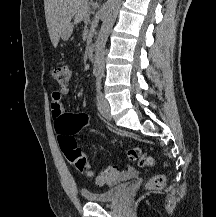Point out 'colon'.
Returning a JSON list of instances; mask_svg holds the SVG:
<instances>
[{
  "label": "colon",
  "mask_w": 216,
  "mask_h": 217,
  "mask_svg": "<svg viewBox=\"0 0 216 217\" xmlns=\"http://www.w3.org/2000/svg\"><path fill=\"white\" fill-rule=\"evenodd\" d=\"M51 75L60 85H67L70 79V69L65 64H58L52 67ZM90 118L86 113L66 114L57 123V134L59 146L65 155L68 163L79 170L81 173L96 176L100 185H110L120 176V169L117 166H109L99 173H95L89 163L83 150L77 144L74 135L83 127L88 125ZM127 155L130 160L137 162L141 168L154 165V159L143 150L134 146L128 149ZM165 177L163 175L152 176L146 187L148 190H156L163 187Z\"/></svg>",
  "instance_id": "5ec220e1"
}]
</instances>
